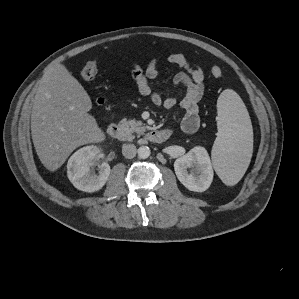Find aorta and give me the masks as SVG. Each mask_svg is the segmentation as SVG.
<instances>
[{"label": "aorta", "instance_id": "1", "mask_svg": "<svg viewBox=\"0 0 299 299\" xmlns=\"http://www.w3.org/2000/svg\"><path fill=\"white\" fill-rule=\"evenodd\" d=\"M137 153H138V157L140 159H146L150 156L151 151H150V148L148 146H140L138 148Z\"/></svg>", "mask_w": 299, "mask_h": 299}]
</instances>
